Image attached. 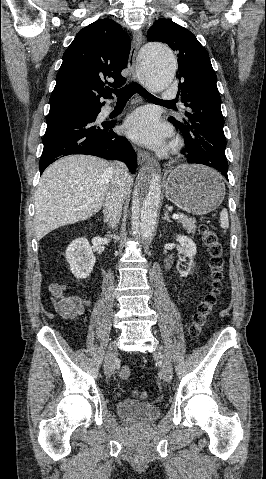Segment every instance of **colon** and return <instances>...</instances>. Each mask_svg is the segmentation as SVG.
Returning <instances> with one entry per match:
<instances>
[{"label": "colon", "instance_id": "colon-1", "mask_svg": "<svg viewBox=\"0 0 266 479\" xmlns=\"http://www.w3.org/2000/svg\"><path fill=\"white\" fill-rule=\"evenodd\" d=\"M202 239L210 254V268H211V289L206 294L204 299L199 303L197 311L194 315L192 325L190 327V334L193 337H198L202 333L203 328L207 325L213 309L218 301L222 281L224 277L223 267V246L215 230L206 224H201L199 227ZM131 371L124 367L120 370V377L123 380L129 379ZM140 399L146 398V393H135Z\"/></svg>", "mask_w": 266, "mask_h": 479}]
</instances>
